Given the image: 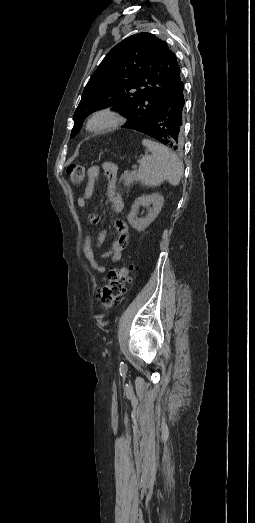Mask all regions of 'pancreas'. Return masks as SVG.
I'll list each match as a JSON object with an SVG mask.
<instances>
[{
	"mask_svg": "<svg viewBox=\"0 0 255 523\" xmlns=\"http://www.w3.org/2000/svg\"><path fill=\"white\" fill-rule=\"evenodd\" d=\"M135 180H137L136 174H128V172H124L120 178V182H123L124 186H129V184H134Z\"/></svg>",
	"mask_w": 255,
	"mask_h": 523,
	"instance_id": "cf45deb5",
	"label": "pancreas"
}]
</instances>
